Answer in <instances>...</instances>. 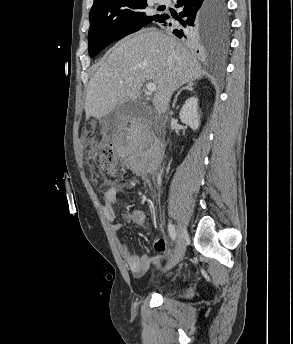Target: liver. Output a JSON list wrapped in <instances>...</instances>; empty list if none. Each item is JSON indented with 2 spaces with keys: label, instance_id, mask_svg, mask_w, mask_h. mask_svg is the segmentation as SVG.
<instances>
[{
  "label": "liver",
  "instance_id": "6515ba94",
  "mask_svg": "<svg viewBox=\"0 0 293 344\" xmlns=\"http://www.w3.org/2000/svg\"><path fill=\"white\" fill-rule=\"evenodd\" d=\"M203 75L197 59L175 38L154 29L140 31L113 47L89 81L86 119H100L116 106L135 100L146 81L156 85L152 103L165 113L172 94Z\"/></svg>",
  "mask_w": 293,
  "mask_h": 344
}]
</instances>
